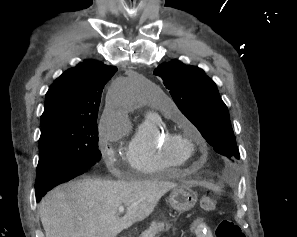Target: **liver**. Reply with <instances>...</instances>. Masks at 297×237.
<instances>
[{
	"label": "liver",
	"mask_w": 297,
	"mask_h": 237,
	"mask_svg": "<svg viewBox=\"0 0 297 237\" xmlns=\"http://www.w3.org/2000/svg\"><path fill=\"white\" fill-rule=\"evenodd\" d=\"M167 181L82 180L50 191L39 204L46 237H116L147 218L169 190ZM125 206L126 214H116Z\"/></svg>",
	"instance_id": "6515ba94"
}]
</instances>
